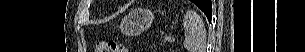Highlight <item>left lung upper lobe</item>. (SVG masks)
Wrapping results in <instances>:
<instances>
[{"mask_svg":"<svg viewBox=\"0 0 305 52\" xmlns=\"http://www.w3.org/2000/svg\"><path fill=\"white\" fill-rule=\"evenodd\" d=\"M194 4H196L199 8L205 7V0H191Z\"/></svg>","mask_w":305,"mask_h":52,"instance_id":"left-lung-upper-lobe-1","label":"left lung upper lobe"}]
</instances>
